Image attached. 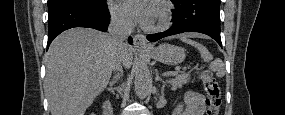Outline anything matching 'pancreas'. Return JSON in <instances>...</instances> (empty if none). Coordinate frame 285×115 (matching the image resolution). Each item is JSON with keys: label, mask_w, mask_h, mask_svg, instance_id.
Masks as SVG:
<instances>
[{"label": "pancreas", "mask_w": 285, "mask_h": 115, "mask_svg": "<svg viewBox=\"0 0 285 115\" xmlns=\"http://www.w3.org/2000/svg\"><path fill=\"white\" fill-rule=\"evenodd\" d=\"M190 80V73L183 72L180 75H177L174 79L167 81L173 88L182 87L184 84H187Z\"/></svg>", "instance_id": "pancreas-1"}]
</instances>
